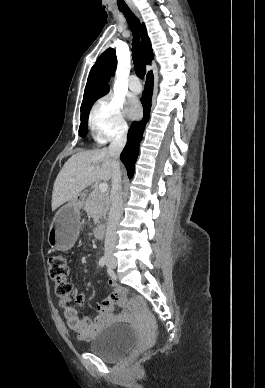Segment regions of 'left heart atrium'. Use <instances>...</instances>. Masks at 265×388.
<instances>
[{
  "instance_id": "1",
  "label": "left heart atrium",
  "mask_w": 265,
  "mask_h": 388,
  "mask_svg": "<svg viewBox=\"0 0 265 388\" xmlns=\"http://www.w3.org/2000/svg\"><path fill=\"white\" fill-rule=\"evenodd\" d=\"M127 113L131 118H138L141 114V106L137 99L129 101L127 106Z\"/></svg>"
}]
</instances>
